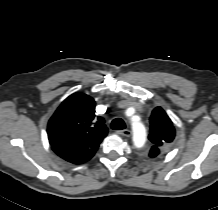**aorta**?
Returning <instances> with one entry per match:
<instances>
[{
  "instance_id": "obj_1",
  "label": "aorta",
  "mask_w": 218,
  "mask_h": 210,
  "mask_svg": "<svg viewBox=\"0 0 218 210\" xmlns=\"http://www.w3.org/2000/svg\"><path fill=\"white\" fill-rule=\"evenodd\" d=\"M133 143L136 147H141L146 140V129L139 120L132 121Z\"/></svg>"
}]
</instances>
